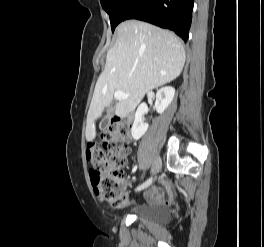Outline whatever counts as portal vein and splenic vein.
<instances>
[{
  "label": "portal vein and splenic vein",
  "instance_id": "1",
  "mask_svg": "<svg viewBox=\"0 0 264 247\" xmlns=\"http://www.w3.org/2000/svg\"><path fill=\"white\" fill-rule=\"evenodd\" d=\"M129 97V94H126L120 90L115 91L114 98L117 100L127 99Z\"/></svg>",
  "mask_w": 264,
  "mask_h": 247
}]
</instances>
